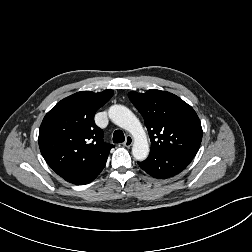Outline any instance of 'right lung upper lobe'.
Masks as SVG:
<instances>
[{
	"instance_id": "cb5924a9",
	"label": "right lung upper lobe",
	"mask_w": 252,
	"mask_h": 252,
	"mask_svg": "<svg viewBox=\"0 0 252 252\" xmlns=\"http://www.w3.org/2000/svg\"><path fill=\"white\" fill-rule=\"evenodd\" d=\"M113 93L111 89L77 92L45 115L39 129V147L59 176L107 161L113 145L103 142V132L95 125L94 115Z\"/></svg>"
}]
</instances>
